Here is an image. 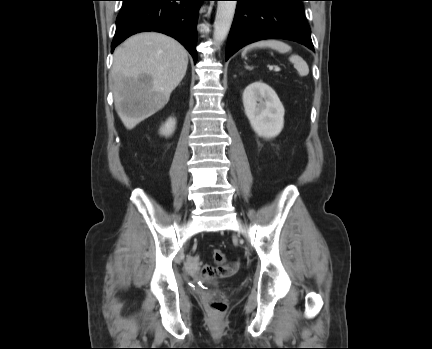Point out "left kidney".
<instances>
[{"instance_id": "1", "label": "left kidney", "mask_w": 432, "mask_h": 349, "mask_svg": "<svg viewBox=\"0 0 432 349\" xmlns=\"http://www.w3.org/2000/svg\"><path fill=\"white\" fill-rule=\"evenodd\" d=\"M243 106L252 129L261 137L274 138L284 126V107L276 92L263 81L249 84L243 92Z\"/></svg>"}]
</instances>
